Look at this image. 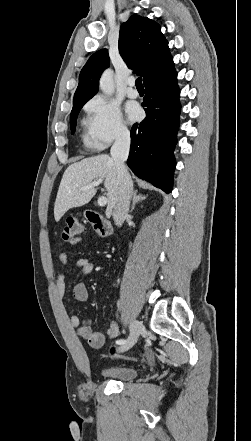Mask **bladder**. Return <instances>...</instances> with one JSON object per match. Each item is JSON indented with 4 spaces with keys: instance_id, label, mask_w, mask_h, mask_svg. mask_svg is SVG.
<instances>
[{
    "instance_id": "1",
    "label": "bladder",
    "mask_w": 251,
    "mask_h": 441,
    "mask_svg": "<svg viewBox=\"0 0 251 441\" xmlns=\"http://www.w3.org/2000/svg\"><path fill=\"white\" fill-rule=\"evenodd\" d=\"M101 376L118 381H129L137 377L138 371L132 367H107L100 370Z\"/></svg>"
}]
</instances>
